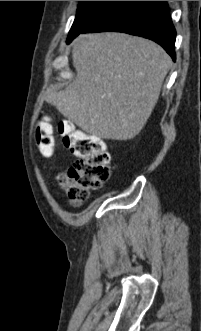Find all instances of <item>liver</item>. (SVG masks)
<instances>
[{"label": "liver", "instance_id": "1", "mask_svg": "<svg viewBox=\"0 0 201 331\" xmlns=\"http://www.w3.org/2000/svg\"><path fill=\"white\" fill-rule=\"evenodd\" d=\"M72 45L76 77L46 101L91 135L134 138L159 99L170 56L151 40L117 32L81 34Z\"/></svg>", "mask_w": 201, "mask_h": 331}]
</instances>
